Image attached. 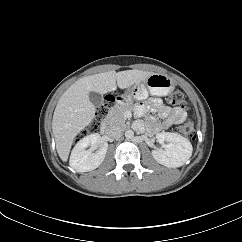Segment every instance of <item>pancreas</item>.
<instances>
[{"label":"pancreas","instance_id":"1","mask_svg":"<svg viewBox=\"0 0 242 242\" xmlns=\"http://www.w3.org/2000/svg\"><path fill=\"white\" fill-rule=\"evenodd\" d=\"M132 106L130 104H126L123 106H115L110 109L107 114V121L110 125H117L121 129L126 128V119L124 117V111L131 110Z\"/></svg>","mask_w":242,"mask_h":242}]
</instances>
